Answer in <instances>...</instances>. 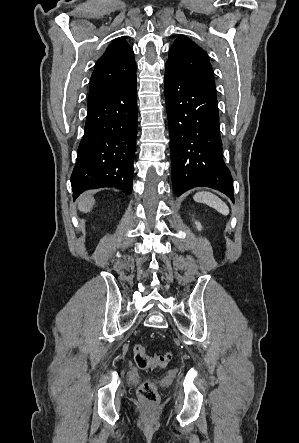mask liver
<instances>
[{
  "instance_id": "6515ba94",
  "label": "liver",
  "mask_w": 299,
  "mask_h": 443,
  "mask_svg": "<svg viewBox=\"0 0 299 443\" xmlns=\"http://www.w3.org/2000/svg\"><path fill=\"white\" fill-rule=\"evenodd\" d=\"M94 203V198L89 193H84L78 199V209L84 213L90 212Z\"/></svg>"
}]
</instances>
